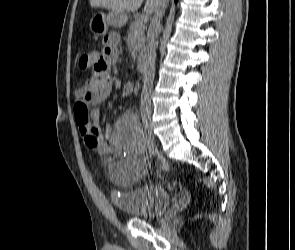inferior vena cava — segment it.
I'll return each instance as SVG.
<instances>
[{
    "instance_id": "obj_1",
    "label": "inferior vena cava",
    "mask_w": 295,
    "mask_h": 250,
    "mask_svg": "<svg viewBox=\"0 0 295 250\" xmlns=\"http://www.w3.org/2000/svg\"><path fill=\"white\" fill-rule=\"evenodd\" d=\"M166 0H157L154 11V16L151 19V23L147 34V45L145 48V73L144 84L141 94L140 111L141 116L151 115V92L155 74V61H156V46L158 29L161 16L165 11Z\"/></svg>"
}]
</instances>
